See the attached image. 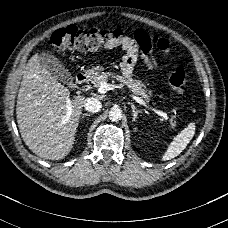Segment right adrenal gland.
Wrapping results in <instances>:
<instances>
[{"label": "right adrenal gland", "mask_w": 228, "mask_h": 228, "mask_svg": "<svg viewBox=\"0 0 228 228\" xmlns=\"http://www.w3.org/2000/svg\"><path fill=\"white\" fill-rule=\"evenodd\" d=\"M83 118H91V115H89V114H83L82 115V118H81V121H82Z\"/></svg>", "instance_id": "2a0ac1e0"}]
</instances>
